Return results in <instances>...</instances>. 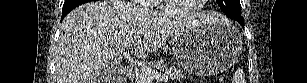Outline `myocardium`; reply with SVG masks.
Masks as SVG:
<instances>
[{
	"label": "myocardium",
	"mask_w": 307,
	"mask_h": 83,
	"mask_svg": "<svg viewBox=\"0 0 307 83\" xmlns=\"http://www.w3.org/2000/svg\"><path fill=\"white\" fill-rule=\"evenodd\" d=\"M171 1V0H170ZM169 0L162 1L160 4V8L172 15H188L194 12H197L203 7V3L207 2V0H199L198 3H195L192 7H183V8H175L172 6Z\"/></svg>",
	"instance_id": "f54148a6"
}]
</instances>
